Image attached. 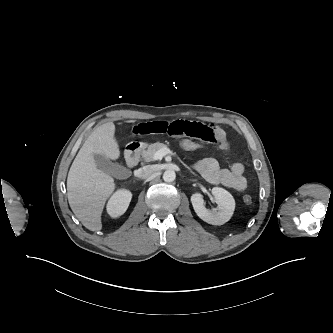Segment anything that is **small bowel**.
Returning <instances> with one entry per match:
<instances>
[{
  "instance_id": "obj_1",
  "label": "small bowel",
  "mask_w": 333,
  "mask_h": 333,
  "mask_svg": "<svg viewBox=\"0 0 333 333\" xmlns=\"http://www.w3.org/2000/svg\"><path fill=\"white\" fill-rule=\"evenodd\" d=\"M131 131L135 135L165 134L172 138L190 137L207 143H215L222 151H227L229 144L225 132L219 127L187 119L153 120L134 125ZM196 170L210 183L221 184L228 188L242 191L247 187L244 165L236 161L229 168H221L214 158H204L195 164Z\"/></svg>"
}]
</instances>
